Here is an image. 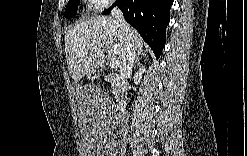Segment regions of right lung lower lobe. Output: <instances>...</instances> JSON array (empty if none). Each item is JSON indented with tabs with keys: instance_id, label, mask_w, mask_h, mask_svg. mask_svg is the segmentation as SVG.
I'll return each mask as SVG.
<instances>
[{
	"instance_id": "98d812e1",
	"label": "right lung lower lobe",
	"mask_w": 247,
	"mask_h": 156,
	"mask_svg": "<svg viewBox=\"0 0 247 156\" xmlns=\"http://www.w3.org/2000/svg\"><path fill=\"white\" fill-rule=\"evenodd\" d=\"M172 4L173 0H117L114 5L123 12L126 21L140 33L158 58L165 46ZM111 9L103 13L109 14Z\"/></svg>"
}]
</instances>
